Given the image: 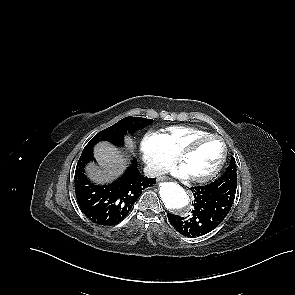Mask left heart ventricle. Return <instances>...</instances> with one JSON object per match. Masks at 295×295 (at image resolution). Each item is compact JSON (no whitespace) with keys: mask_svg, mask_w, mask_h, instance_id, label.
Segmentation results:
<instances>
[{"mask_svg":"<svg viewBox=\"0 0 295 295\" xmlns=\"http://www.w3.org/2000/svg\"><path fill=\"white\" fill-rule=\"evenodd\" d=\"M222 154V145L216 139H209L197 146L182 162L189 176H204L218 164Z\"/></svg>","mask_w":295,"mask_h":295,"instance_id":"obj_1","label":"left heart ventricle"}]
</instances>
